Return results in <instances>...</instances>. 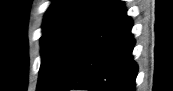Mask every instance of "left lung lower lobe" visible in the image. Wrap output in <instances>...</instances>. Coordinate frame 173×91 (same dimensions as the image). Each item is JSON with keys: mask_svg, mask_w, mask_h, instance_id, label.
Wrapping results in <instances>:
<instances>
[{"mask_svg": "<svg viewBox=\"0 0 173 91\" xmlns=\"http://www.w3.org/2000/svg\"><path fill=\"white\" fill-rule=\"evenodd\" d=\"M132 20L116 0L77 47L51 91H134Z\"/></svg>", "mask_w": 173, "mask_h": 91, "instance_id": "0a47b994", "label": "left lung lower lobe"}]
</instances>
